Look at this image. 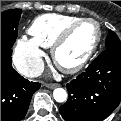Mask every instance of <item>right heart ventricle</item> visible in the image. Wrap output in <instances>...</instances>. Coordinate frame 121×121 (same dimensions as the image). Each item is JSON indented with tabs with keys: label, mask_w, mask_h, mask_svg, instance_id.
<instances>
[{
	"label": "right heart ventricle",
	"mask_w": 121,
	"mask_h": 121,
	"mask_svg": "<svg viewBox=\"0 0 121 121\" xmlns=\"http://www.w3.org/2000/svg\"><path fill=\"white\" fill-rule=\"evenodd\" d=\"M79 19L77 16L70 15H41L31 23L29 34L36 44L49 48L66 27Z\"/></svg>",
	"instance_id": "right-heart-ventricle-1"
}]
</instances>
